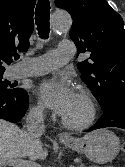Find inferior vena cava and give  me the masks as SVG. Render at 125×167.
<instances>
[{
	"label": "inferior vena cava",
	"mask_w": 125,
	"mask_h": 167,
	"mask_svg": "<svg viewBox=\"0 0 125 167\" xmlns=\"http://www.w3.org/2000/svg\"><path fill=\"white\" fill-rule=\"evenodd\" d=\"M26 129L32 137H39L45 132L42 108L31 109L26 118Z\"/></svg>",
	"instance_id": "1"
}]
</instances>
